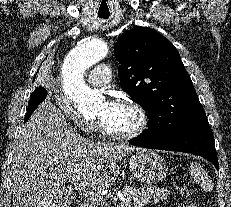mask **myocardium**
<instances>
[{
	"instance_id": "myocardium-1",
	"label": "myocardium",
	"mask_w": 231,
	"mask_h": 207,
	"mask_svg": "<svg viewBox=\"0 0 231 207\" xmlns=\"http://www.w3.org/2000/svg\"><path fill=\"white\" fill-rule=\"evenodd\" d=\"M116 103L126 104L130 108H132L138 116V125L132 131L125 132V133H117V132L111 131L101 121L100 128H101L103 135L110 139L118 140V141L131 140V139L141 136L147 130L148 124H149L148 114L146 110L144 109V107L139 102H137L136 100H134L133 98L129 96L117 97Z\"/></svg>"
}]
</instances>
